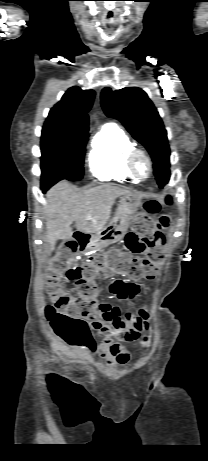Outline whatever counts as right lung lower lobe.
Segmentation results:
<instances>
[{
	"instance_id": "right-lung-lower-lobe-1",
	"label": "right lung lower lobe",
	"mask_w": 208,
	"mask_h": 461,
	"mask_svg": "<svg viewBox=\"0 0 208 461\" xmlns=\"http://www.w3.org/2000/svg\"><path fill=\"white\" fill-rule=\"evenodd\" d=\"M58 182V181H57ZM57 182H53V183H50L48 185H45V186H41V189L43 190V192L45 193L51 186H53L55 183Z\"/></svg>"
}]
</instances>
